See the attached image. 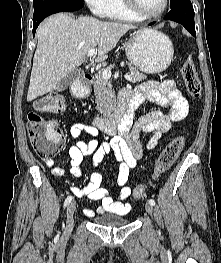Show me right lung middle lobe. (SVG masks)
Listing matches in <instances>:
<instances>
[{"instance_id": "right-lung-middle-lobe-1", "label": "right lung middle lobe", "mask_w": 221, "mask_h": 263, "mask_svg": "<svg viewBox=\"0 0 221 263\" xmlns=\"http://www.w3.org/2000/svg\"><path fill=\"white\" fill-rule=\"evenodd\" d=\"M76 4H83V0H34V14L57 6Z\"/></svg>"}]
</instances>
